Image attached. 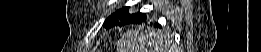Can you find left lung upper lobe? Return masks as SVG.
<instances>
[{
    "label": "left lung upper lobe",
    "instance_id": "1",
    "mask_svg": "<svg viewBox=\"0 0 261 52\" xmlns=\"http://www.w3.org/2000/svg\"><path fill=\"white\" fill-rule=\"evenodd\" d=\"M128 10L129 7H123L122 9L117 10L115 13H113L105 20L103 26L106 28H110L117 24L125 25L127 23H134L135 21L141 19L144 16V14L140 12L135 14H129Z\"/></svg>",
    "mask_w": 261,
    "mask_h": 52
}]
</instances>
